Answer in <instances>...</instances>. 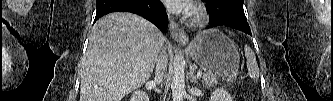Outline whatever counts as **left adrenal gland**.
<instances>
[{
  "instance_id": "a2214340",
  "label": "left adrenal gland",
  "mask_w": 333,
  "mask_h": 101,
  "mask_svg": "<svg viewBox=\"0 0 333 101\" xmlns=\"http://www.w3.org/2000/svg\"><path fill=\"white\" fill-rule=\"evenodd\" d=\"M189 79H190L191 83L198 84V78L194 74V68L193 67L190 68Z\"/></svg>"
}]
</instances>
